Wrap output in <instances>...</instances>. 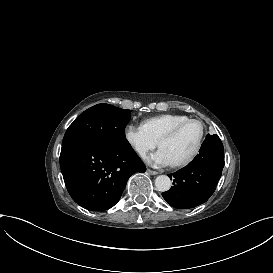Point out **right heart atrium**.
Listing matches in <instances>:
<instances>
[{
    "label": "right heart atrium",
    "mask_w": 273,
    "mask_h": 273,
    "mask_svg": "<svg viewBox=\"0 0 273 273\" xmlns=\"http://www.w3.org/2000/svg\"><path fill=\"white\" fill-rule=\"evenodd\" d=\"M125 136L140 157H145L158 145V141L150 134L143 124L128 125Z\"/></svg>",
    "instance_id": "d8ad5b80"
}]
</instances>
